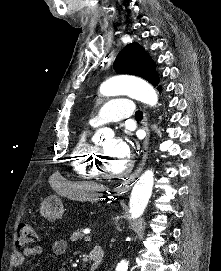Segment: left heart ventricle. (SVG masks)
<instances>
[{
  "instance_id": "1",
  "label": "left heart ventricle",
  "mask_w": 221,
  "mask_h": 271,
  "mask_svg": "<svg viewBox=\"0 0 221 271\" xmlns=\"http://www.w3.org/2000/svg\"><path fill=\"white\" fill-rule=\"evenodd\" d=\"M103 164L107 165L109 175H124L122 156H109V160H104Z\"/></svg>"
}]
</instances>
